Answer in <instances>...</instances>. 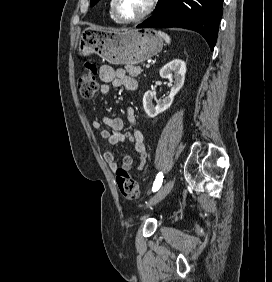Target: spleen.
Here are the masks:
<instances>
[{
    "label": "spleen",
    "instance_id": "obj_1",
    "mask_svg": "<svg viewBox=\"0 0 272 282\" xmlns=\"http://www.w3.org/2000/svg\"><path fill=\"white\" fill-rule=\"evenodd\" d=\"M157 34H158L161 38H163V39L166 41V43L170 44L171 39H170L169 35H167V34L164 33V32H161V31H158Z\"/></svg>",
    "mask_w": 272,
    "mask_h": 282
}]
</instances>
